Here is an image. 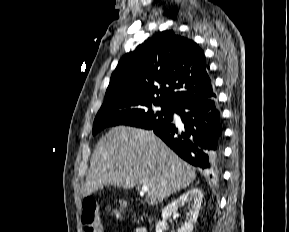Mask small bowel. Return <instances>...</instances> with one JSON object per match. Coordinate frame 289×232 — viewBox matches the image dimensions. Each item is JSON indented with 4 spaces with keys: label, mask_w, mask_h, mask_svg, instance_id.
<instances>
[{
    "label": "small bowel",
    "mask_w": 289,
    "mask_h": 232,
    "mask_svg": "<svg viewBox=\"0 0 289 232\" xmlns=\"http://www.w3.org/2000/svg\"><path fill=\"white\" fill-rule=\"evenodd\" d=\"M135 232H147L145 227H138Z\"/></svg>",
    "instance_id": "obj_1"
}]
</instances>
